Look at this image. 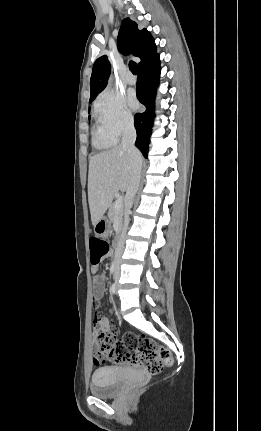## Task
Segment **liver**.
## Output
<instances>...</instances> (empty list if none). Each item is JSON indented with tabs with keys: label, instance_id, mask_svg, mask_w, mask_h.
<instances>
[{
	"label": "liver",
	"instance_id": "1",
	"mask_svg": "<svg viewBox=\"0 0 261 431\" xmlns=\"http://www.w3.org/2000/svg\"><path fill=\"white\" fill-rule=\"evenodd\" d=\"M142 161V156L140 153ZM133 174V163L122 145L90 158L88 201L92 224L95 225L111 205L114 195L127 191Z\"/></svg>",
	"mask_w": 261,
	"mask_h": 431
}]
</instances>
